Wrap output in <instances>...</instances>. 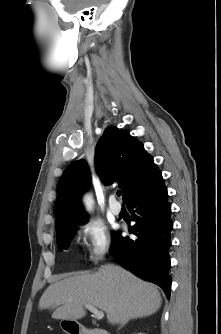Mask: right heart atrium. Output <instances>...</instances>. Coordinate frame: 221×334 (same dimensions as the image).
<instances>
[{
  "instance_id": "1",
  "label": "right heart atrium",
  "mask_w": 221,
  "mask_h": 334,
  "mask_svg": "<svg viewBox=\"0 0 221 334\" xmlns=\"http://www.w3.org/2000/svg\"><path fill=\"white\" fill-rule=\"evenodd\" d=\"M86 254L90 261L98 263L104 259L111 247L107 227L98 219H88L80 227Z\"/></svg>"
}]
</instances>
